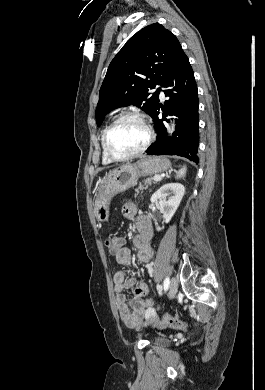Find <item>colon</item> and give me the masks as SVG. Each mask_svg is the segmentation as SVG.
<instances>
[{
  "mask_svg": "<svg viewBox=\"0 0 265 390\" xmlns=\"http://www.w3.org/2000/svg\"><path fill=\"white\" fill-rule=\"evenodd\" d=\"M105 244L109 249L110 253L114 254L115 251L118 249V237L112 234L108 235L105 239ZM145 306H146V310L149 313H156L160 310L158 303L149 298L145 299ZM160 325L167 326L177 330H185L188 327V325L185 322L175 317H172L167 313H162V321Z\"/></svg>",
  "mask_w": 265,
  "mask_h": 390,
  "instance_id": "1",
  "label": "colon"
}]
</instances>
